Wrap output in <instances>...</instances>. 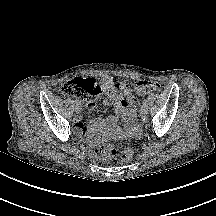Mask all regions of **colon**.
<instances>
[{"mask_svg":"<svg viewBox=\"0 0 216 216\" xmlns=\"http://www.w3.org/2000/svg\"><path fill=\"white\" fill-rule=\"evenodd\" d=\"M160 85L156 82L141 81L134 85L135 94L144 96L158 90ZM60 91L67 96L76 97L87 104L94 103L102 94V87L90 78H75L61 85ZM100 153L103 156L116 157L118 163L128 162L133 157V150L124 147L118 150L112 144L101 146Z\"/></svg>","mask_w":216,"mask_h":216,"instance_id":"1","label":"colon"}]
</instances>
